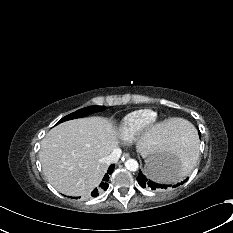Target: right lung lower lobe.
Listing matches in <instances>:
<instances>
[{"instance_id":"obj_1","label":"right lung lower lobe","mask_w":233,"mask_h":233,"mask_svg":"<svg viewBox=\"0 0 233 233\" xmlns=\"http://www.w3.org/2000/svg\"><path fill=\"white\" fill-rule=\"evenodd\" d=\"M114 165H111L107 171V173L105 174V176L103 177V179L101 180L100 184L97 186V188H95L92 192H91V196L92 197H96L98 196L101 192L107 190L108 188V181H109V175L113 172L114 170Z\"/></svg>"}]
</instances>
